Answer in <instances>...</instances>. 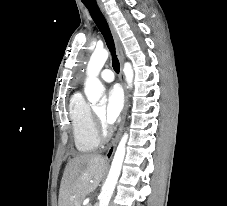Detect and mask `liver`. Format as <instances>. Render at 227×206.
Segmentation results:
<instances>
[{
	"label": "liver",
	"mask_w": 227,
	"mask_h": 206,
	"mask_svg": "<svg viewBox=\"0 0 227 206\" xmlns=\"http://www.w3.org/2000/svg\"><path fill=\"white\" fill-rule=\"evenodd\" d=\"M105 169V159L99 154H81L71 159L61 180L58 205L81 206L99 185Z\"/></svg>",
	"instance_id": "obj_1"
}]
</instances>
